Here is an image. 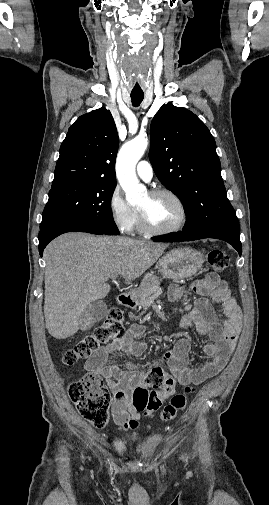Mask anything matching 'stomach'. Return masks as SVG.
<instances>
[{"label": "stomach", "mask_w": 269, "mask_h": 505, "mask_svg": "<svg viewBox=\"0 0 269 505\" xmlns=\"http://www.w3.org/2000/svg\"><path fill=\"white\" fill-rule=\"evenodd\" d=\"M204 256L191 248H179L166 253L157 263L158 273L163 278L183 280L197 274L202 268ZM160 277L150 272L144 277L141 290L159 285Z\"/></svg>", "instance_id": "obj_1"}]
</instances>
